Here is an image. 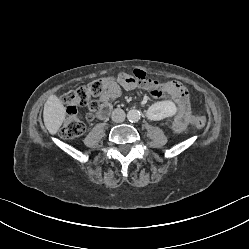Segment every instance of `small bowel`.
<instances>
[{"instance_id": "c3829d8e", "label": "small bowel", "mask_w": 249, "mask_h": 249, "mask_svg": "<svg viewBox=\"0 0 249 249\" xmlns=\"http://www.w3.org/2000/svg\"><path fill=\"white\" fill-rule=\"evenodd\" d=\"M137 87H143L152 91V98L154 100H159L161 95L166 93L173 98V101L177 103L179 108L178 114L173 121L175 131H184L190 125L192 110L183 85L174 80L165 82L157 81L155 77L146 74L139 67L135 68L131 74L120 73L117 81L103 90L98 98L101 109L96 114V117L106 119L112 111V101L121 95L122 89L130 91Z\"/></svg>"}]
</instances>
